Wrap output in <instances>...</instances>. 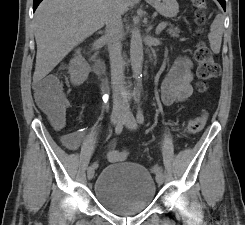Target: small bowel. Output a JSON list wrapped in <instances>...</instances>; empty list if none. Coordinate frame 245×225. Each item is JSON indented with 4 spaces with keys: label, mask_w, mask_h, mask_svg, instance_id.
Returning <instances> with one entry per match:
<instances>
[{
    "label": "small bowel",
    "mask_w": 245,
    "mask_h": 225,
    "mask_svg": "<svg viewBox=\"0 0 245 225\" xmlns=\"http://www.w3.org/2000/svg\"><path fill=\"white\" fill-rule=\"evenodd\" d=\"M52 79L53 76H47ZM192 65L187 57H180L168 74L165 76L161 85V99L164 105H171L178 101H183L192 95ZM41 83L37 84V87ZM69 138L67 147L70 150H78L79 148L89 145L91 139L85 137L79 131H71L66 135ZM127 158V153L118 149H111L107 154V160L110 163L121 162Z\"/></svg>",
    "instance_id": "obj_1"
}]
</instances>
